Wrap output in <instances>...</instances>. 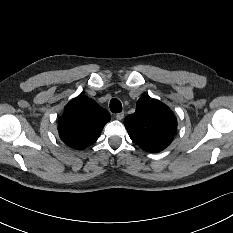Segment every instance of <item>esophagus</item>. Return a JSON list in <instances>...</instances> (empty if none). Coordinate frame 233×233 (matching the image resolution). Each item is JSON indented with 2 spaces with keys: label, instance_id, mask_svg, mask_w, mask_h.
I'll return each mask as SVG.
<instances>
[{
  "label": "esophagus",
  "instance_id": "esophagus-1",
  "mask_svg": "<svg viewBox=\"0 0 233 233\" xmlns=\"http://www.w3.org/2000/svg\"><path fill=\"white\" fill-rule=\"evenodd\" d=\"M116 118L122 120L124 118V112L117 113Z\"/></svg>",
  "mask_w": 233,
  "mask_h": 233
}]
</instances>
